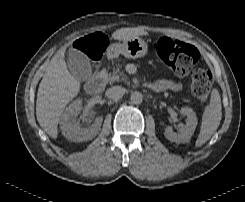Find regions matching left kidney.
<instances>
[{"label": "left kidney", "mask_w": 245, "mask_h": 202, "mask_svg": "<svg viewBox=\"0 0 245 202\" xmlns=\"http://www.w3.org/2000/svg\"><path fill=\"white\" fill-rule=\"evenodd\" d=\"M180 114L187 117L186 124L179 126L178 133L174 132L171 127H165L164 135L171 142L187 143L190 141L196 129L197 116L196 113L188 107L181 108Z\"/></svg>", "instance_id": "5707ae66"}]
</instances>
